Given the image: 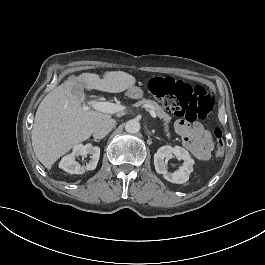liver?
I'll return each mask as SVG.
<instances>
[{
  "mask_svg": "<svg viewBox=\"0 0 265 265\" xmlns=\"http://www.w3.org/2000/svg\"><path fill=\"white\" fill-rule=\"evenodd\" d=\"M135 78L123 71H110L100 79L82 73L68 78L48 93L38 106L32 128V146L37 159L47 168L75 144L87 140L97 123L109 114L86 109L84 88L117 93L131 88Z\"/></svg>",
  "mask_w": 265,
  "mask_h": 265,
  "instance_id": "obj_1",
  "label": "liver"
}]
</instances>
